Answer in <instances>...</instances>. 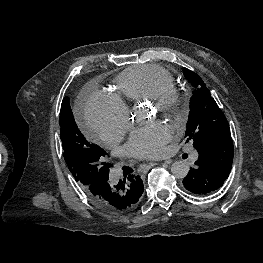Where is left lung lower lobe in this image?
Returning a JSON list of instances; mask_svg holds the SVG:
<instances>
[{
	"instance_id": "obj_1",
	"label": "left lung lower lobe",
	"mask_w": 263,
	"mask_h": 263,
	"mask_svg": "<svg viewBox=\"0 0 263 263\" xmlns=\"http://www.w3.org/2000/svg\"><path fill=\"white\" fill-rule=\"evenodd\" d=\"M197 151L199 158L183 185L195 195H209L218 190L230 174L234 155L231 135L218 136Z\"/></svg>"
}]
</instances>
